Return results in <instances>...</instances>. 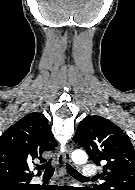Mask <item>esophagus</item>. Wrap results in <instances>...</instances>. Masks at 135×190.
Listing matches in <instances>:
<instances>
[{
  "instance_id": "esophagus-1",
  "label": "esophagus",
  "mask_w": 135,
  "mask_h": 190,
  "mask_svg": "<svg viewBox=\"0 0 135 190\" xmlns=\"http://www.w3.org/2000/svg\"><path fill=\"white\" fill-rule=\"evenodd\" d=\"M71 161V149L68 147L64 153L58 155V164L61 175H64L65 164Z\"/></svg>"
}]
</instances>
